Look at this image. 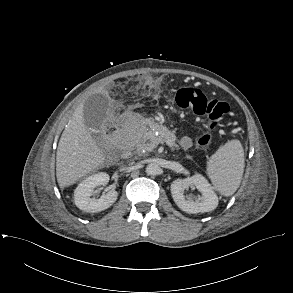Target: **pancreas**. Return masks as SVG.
<instances>
[{
	"mask_svg": "<svg viewBox=\"0 0 293 293\" xmlns=\"http://www.w3.org/2000/svg\"><path fill=\"white\" fill-rule=\"evenodd\" d=\"M131 133V132H130ZM133 133V132H132ZM122 142L131 141L132 143H136V146L139 151L142 149H145V151H150L152 148L156 147L159 143H162L165 138L161 137L160 140L158 138H154V131L147 132L145 127H142L135 138L131 135H124L120 139ZM148 140H151V142H148Z\"/></svg>",
	"mask_w": 293,
	"mask_h": 293,
	"instance_id": "1",
	"label": "pancreas"
}]
</instances>
